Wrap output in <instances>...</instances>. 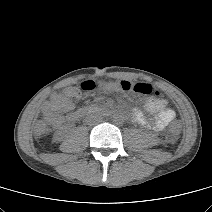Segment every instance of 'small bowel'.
Segmentation results:
<instances>
[{
    "label": "small bowel",
    "instance_id": "obj_1",
    "mask_svg": "<svg viewBox=\"0 0 212 212\" xmlns=\"http://www.w3.org/2000/svg\"><path fill=\"white\" fill-rule=\"evenodd\" d=\"M79 98L80 92L74 87H68L53 93L42 107L45 120L55 126H59L65 121L74 123L80 115L79 112H72L74 109L72 99ZM144 110L155 116L152 123L148 121L142 110L134 109L132 111L133 121L143 127H152L157 131H161L175 119V112L167 107L163 98L151 97L145 103Z\"/></svg>",
    "mask_w": 212,
    "mask_h": 212
}]
</instances>
